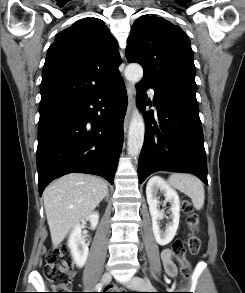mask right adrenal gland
Returning a JSON list of instances; mask_svg holds the SVG:
<instances>
[{
	"label": "right adrenal gland",
	"instance_id": "right-adrenal-gland-1",
	"mask_svg": "<svg viewBox=\"0 0 245 293\" xmlns=\"http://www.w3.org/2000/svg\"><path fill=\"white\" fill-rule=\"evenodd\" d=\"M108 199H109V193H107L106 195V201H108Z\"/></svg>",
	"mask_w": 245,
	"mask_h": 293
}]
</instances>
